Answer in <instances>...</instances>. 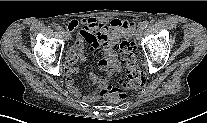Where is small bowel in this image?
<instances>
[{"mask_svg": "<svg viewBox=\"0 0 207 123\" xmlns=\"http://www.w3.org/2000/svg\"><path fill=\"white\" fill-rule=\"evenodd\" d=\"M135 24L119 18H113L109 22L88 18L82 20H71L67 23L68 31H74L81 27L73 46L66 54V85L68 90L76 98L83 97L84 101L92 102L96 99V93L90 92L82 96L74 81V74L78 72L77 61H84V43L89 46L92 54H100L102 58L98 62L100 69H105L109 65H116L115 47L123 39L129 38L134 31ZM94 84L99 82V76L91 74Z\"/></svg>", "mask_w": 207, "mask_h": 123, "instance_id": "small-bowel-1", "label": "small bowel"}]
</instances>
